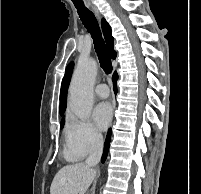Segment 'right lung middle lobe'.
Instances as JSON below:
<instances>
[{
    "instance_id": "dd1d6c3e",
    "label": "right lung middle lobe",
    "mask_w": 201,
    "mask_h": 194,
    "mask_svg": "<svg viewBox=\"0 0 201 194\" xmlns=\"http://www.w3.org/2000/svg\"><path fill=\"white\" fill-rule=\"evenodd\" d=\"M64 122H65V120L62 119V121H61V128H63Z\"/></svg>"
}]
</instances>
